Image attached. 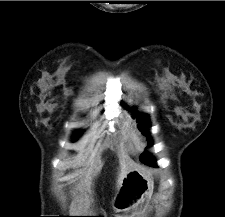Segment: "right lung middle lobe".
I'll use <instances>...</instances> for the list:
<instances>
[{"mask_svg": "<svg viewBox=\"0 0 225 217\" xmlns=\"http://www.w3.org/2000/svg\"><path fill=\"white\" fill-rule=\"evenodd\" d=\"M81 131H77L75 136H74V140L80 135Z\"/></svg>", "mask_w": 225, "mask_h": 217, "instance_id": "obj_1", "label": "right lung middle lobe"}]
</instances>
